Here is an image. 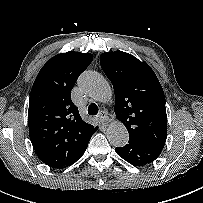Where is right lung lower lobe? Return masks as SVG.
Returning <instances> with one entry per match:
<instances>
[{"label": "right lung lower lobe", "instance_id": "1", "mask_svg": "<svg viewBox=\"0 0 203 203\" xmlns=\"http://www.w3.org/2000/svg\"><path fill=\"white\" fill-rule=\"evenodd\" d=\"M86 148H87V147H86ZM86 148L83 150V152H82L81 155L78 157V159L84 154ZM78 159H77V160H78Z\"/></svg>", "mask_w": 203, "mask_h": 203}]
</instances>
